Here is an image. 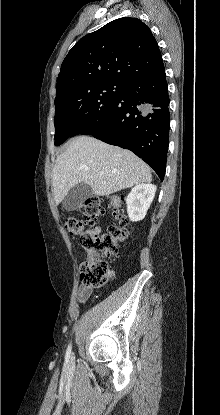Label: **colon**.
Instances as JSON below:
<instances>
[{
    "instance_id": "1",
    "label": "colon",
    "mask_w": 220,
    "mask_h": 415,
    "mask_svg": "<svg viewBox=\"0 0 220 415\" xmlns=\"http://www.w3.org/2000/svg\"><path fill=\"white\" fill-rule=\"evenodd\" d=\"M109 210L118 219L110 224L105 231H94L105 212L99 197L86 199L80 212L83 218L74 215L64 217V225L72 235H81V245L87 253L86 261L81 265V282L88 287H103L109 277L110 269L107 259L116 255L118 247L130 233V228L124 221L125 201L122 196L114 195L109 199Z\"/></svg>"
}]
</instances>
